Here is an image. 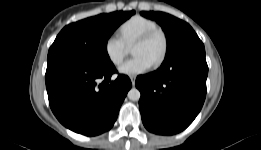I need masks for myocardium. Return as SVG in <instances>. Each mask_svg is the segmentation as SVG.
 I'll return each instance as SVG.
<instances>
[{"label": "myocardium", "instance_id": "obj_1", "mask_svg": "<svg viewBox=\"0 0 261 150\" xmlns=\"http://www.w3.org/2000/svg\"><path fill=\"white\" fill-rule=\"evenodd\" d=\"M158 35L161 36L163 44H162V50H161L158 58L153 63L154 67L160 66L164 62V60L167 56L169 41H168V37H167V34L165 33V31L159 27L149 30L146 33H144L143 35H141L138 39H136V41L133 44V46H134L136 44L147 43V42L151 41L155 36H158Z\"/></svg>", "mask_w": 261, "mask_h": 150}]
</instances>
